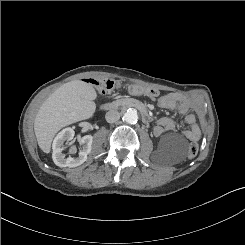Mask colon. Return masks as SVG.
<instances>
[{"mask_svg":"<svg viewBox=\"0 0 245 245\" xmlns=\"http://www.w3.org/2000/svg\"><path fill=\"white\" fill-rule=\"evenodd\" d=\"M118 88V84L112 80H106L98 84V91L101 94H111ZM129 92L134 95H146L152 98L158 96L159 92L157 89L150 87H143L138 85H133L129 87ZM199 151V146L196 143H191L188 148L187 157L189 159L194 158Z\"/></svg>","mask_w":245,"mask_h":245,"instance_id":"5ec220e1","label":"colon"}]
</instances>
